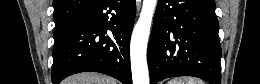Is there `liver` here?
<instances>
[{"label":"liver","mask_w":260,"mask_h":84,"mask_svg":"<svg viewBox=\"0 0 260 84\" xmlns=\"http://www.w3.org/2000/svg\"><path fill=\"white\" fill-rule=\"evenodd\" d=\"M64 84H117V81L99 73L84 72L67 78Z\"/></svg>","instance_id":"1"}]
</instances>
